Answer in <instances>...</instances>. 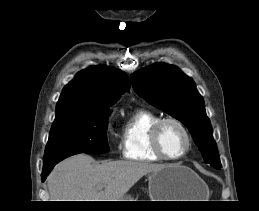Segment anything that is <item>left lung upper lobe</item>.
<instances>
[{
	"label": "left lung upper lobe",
	"mask_w": 259,
	"mask_h": 211,
	"mask_svg": "<svg viewBox=\"0 0 259 211\" xmlns=\"http://www.w3.org/2000/svg\"><path fill=\"white\" fill-rule=\"evenodd\" d=\"M131 81L141 97L188 128L206 163L221 167L204 100L190 77L176 66L154 64L132 75Z\"/></svg>",
	"instance_id": "obj_1"
}]
</instances>
